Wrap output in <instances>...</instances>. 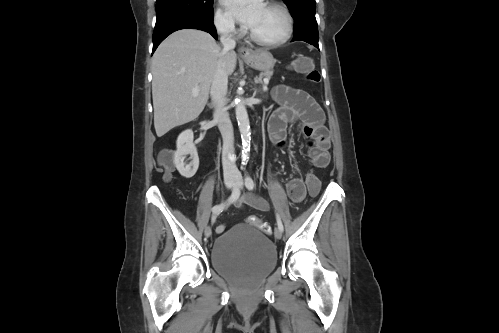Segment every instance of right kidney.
<instances>
[{
  "mask_svg": "<svg viewBox=\"0 0 499 333\" xmlns=\"http://www.w3.org/2000/svg\"><path fill=\"white\" fill-rule=\"evenodd\" d=\"M194 135L191 129L183 131L177 138V150L174 153V164L178 172L185 178L193 177L199 167V157L197 149L193 143ZM190 155V162L184 160Z\"/></svg>",
  "mask_w": 499,
  "mask_h": 333,
  "instance_id": "ca27d5eb",
  "label": "right kidney"
}]
</instances>
